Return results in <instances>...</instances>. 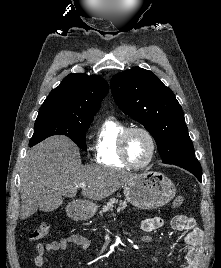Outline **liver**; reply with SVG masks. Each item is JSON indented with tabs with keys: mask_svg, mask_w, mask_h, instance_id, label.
I'll return each mask as SVG.
<instances>
[{
	"mask_svg": "<svg viewBox=\"0 0 221 268\" xmlns=\"http://www.w3.org/2000/svg\"><path fill=\"white\" fill-rule=\"evenodd\" d=\"M134 175L108 167L83 166L79 149L64 136H53L27 152L20 172L21 211L26 219L45 211L63 196L73 198L78 185L85 183L82 195L102 200L115 193Z\"/></svg>",
	"mask_w": 221,
	"mask_h": 268,
	"instance_id": "1",
	"label": "liver"
}]
</instances>
